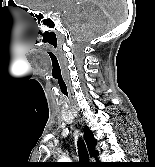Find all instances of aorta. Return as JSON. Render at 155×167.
<instances>
[{"instance_id": "762f6f07", "label": "aorta", "mask_w": 155, "mask_h": 167, "mask_svg": "<svg viewBox=\"0 0 155 167\" xmlns=\"http://www.w3.org/2000/svg\"><path fill=\"white\" fill-rule=\"evenodd\" d=\"M62 160H67V158H62Z\"/></svg>"}]
</instances>
